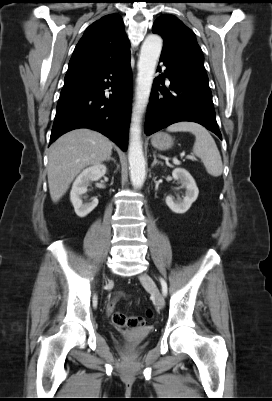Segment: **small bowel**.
Here are the masks:
<instances>
[{
	"label": "small bowel",
	"mask_w": 272,
	"mask_h": 401,
	"mask_svg": "<svg viewBox=\"0 0 272 401\" xmlns=\"http://www.w3.org/2000/svg\"><path fill=\"white\" fill-rule=\"evenodd\" d=\"M117 300H118V296H117V295L113 296V297L109 300V302H108V304H107V307H106V313H107L108 315H110V314L113 312Z\"/></svg>",
	"instance_id": "small-bowel-1"
}]
</instances>
